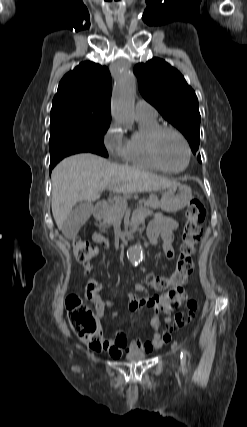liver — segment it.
I'll use <instances>...</instances> for the list:
<instances>
[{"label": "liver", "instance_id": "obj_1", "mask_svg": "<svg viewBox=\"0 0 247 427\" xmlns=\"http://www.w3.org/2000/svg\"><path fill=\"white\" fill-rule=\"evenodd\" d=\"M177 182L139 168L118 165L91 153L62 160L52 172V213L61 230L79 201L93 202L105 188L118 193L150 192Z\"/></svg>", "mask_w": 247, "mask_h": 427}]
</instances>
